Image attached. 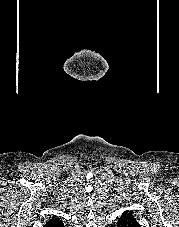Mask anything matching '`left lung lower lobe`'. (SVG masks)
I'll list each match as a JSON object with an SVG mask.
<instances>
[{"label": "left lung lower lobe", "instance_id": "0a47b994", "mask_svg": "<svg viewBox=\"0 0 179 227\" xmlns=\"http://www.w3.org/2000/svg\"><path fill=\"white\" fill-rule=\"evenodd\" d=\"M117 227H121V226L117 225ZM135 227H139V225H136Z\"/></svg>", "mask_w": 179, "mask_h": 227}]
</instances>
